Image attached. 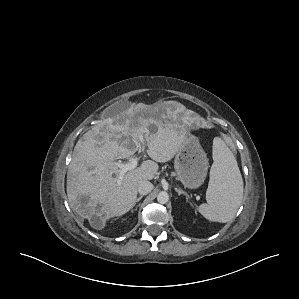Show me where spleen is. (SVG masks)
Returning <instances> with one entry per match:
<instances>
[{"label":"spleen","mask_w":299,"mask_h":299,"mask_svg":"<svg viewBox=\"0 0 299 299\" xmlns=\"http://www.w3.org/2000/svg\"><path fill=\"white\" fill-rule=\"evenodd\" d=\"M213 164L206 192L207 204L199 212L213 222L227 223L236 214L243 198V180L233 152L226 142L213 140Z\"/></svg>","instance_id":"1"}]
</instances>
